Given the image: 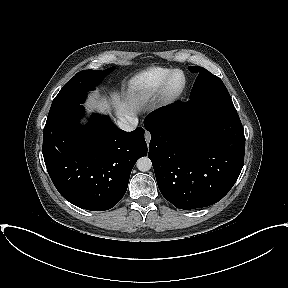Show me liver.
Masks as SVG:
<instances>
[{
	"label": "liver",
	"mask_w": 288,
	"mask_h": 288,
	"mask_svg": "<svg viewBox=\"0 0 288 288\" xmlns=\"http://www.w3.org/2000/svg\"><path fill=\"white\" fill-rule=\"evenodd\" d=\"M85 105L89 112L92 110H97L101 113H106L110 112L111 108H113L116 117L121 120L123 118L137 119V112L141 109L144 103L140 102L134 93L128 94L122 98L119 95L114 94L110 101H108L106 97H101L98 94H92L88 97Z\"/></svg>",
	"instance_id": "1"
}]
</instances>
